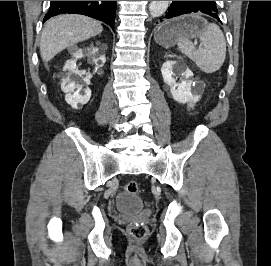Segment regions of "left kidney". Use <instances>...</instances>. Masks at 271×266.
Segmentation results:
<instances>
[{
	"label": "left kidney",
	"mask_w": 271,
	"mask_h": 266,
	"mask_svg": "<svg viewBox=\"0 0 271 266\" xmlns=\"http://www.w3.org/2000/svg\"><path fill=\"white\" fill-rule=\"evenodd\" d=\"M161 73L164 82L170 86L175 101L182 104L197 101V97L191 92L192 80L190 78L193 76L191 70L176 61H166L161 68ZM177 75L183 77L179 83L174 78Z\"/></svg>",
	"instance_id": "obj_1"
}]
</instances>
